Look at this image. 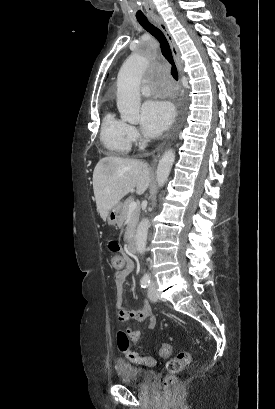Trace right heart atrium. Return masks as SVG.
Returning <instances> with one entry per match:
<instances>
[{
  "label": "right heart atrium",
  "instance_id": "1",
  "mask_svg": "<svg viewBox=\"0 0 275 409\" xmlns=\"http://www.w3.org/2000/svg\"><path fill=\"white\" fill-rule=\"evenodd\" d=\"M129 132L133 141H137L139 139V131L135 126L129 125Z\"/></svg>",
  "mask_w": 275,
  "mask_h": 409
}]
</instances>
